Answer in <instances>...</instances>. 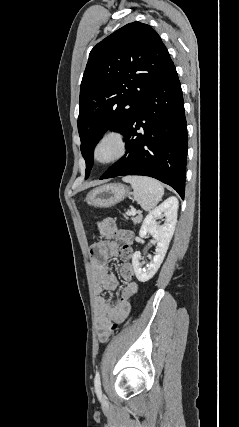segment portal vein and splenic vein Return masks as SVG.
I'll use <instances>...</instances> for the list:
<instances>
[{
  "label": "portal vein and splenic vein",
  "instance_id": "1",
  "mask_svg": "<svg viewBox=\"0 0 239 427\" xmlns=\"http://www.w3.org/2000/svg\"><path fill=\"white\" fill-rule=\"evenodd\" d=\"M136 210L134 208H131V210L128 212V215H135Z\"/></svg>",
  "mask_w": 239,
  "mask_h": 427
}]
</instances>
